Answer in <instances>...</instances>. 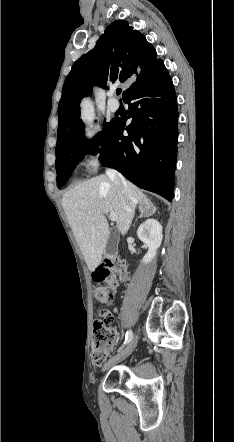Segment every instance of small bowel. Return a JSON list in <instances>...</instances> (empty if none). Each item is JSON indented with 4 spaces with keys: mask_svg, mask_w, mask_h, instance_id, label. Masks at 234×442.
I'll return each instance as SVG.
<instances>
[{
    "mask_svg": "<svg viewBox=\"0 0 234 442\" xmlns=\"http://www.w3.org/2000/svg\"><path fill=\"white\" fill-rule=\"evenodd\" d=\"M114 317L112 314H103L101 319L94 320L95 328H111L113 326Z\"/></svg>",
    "mask_w": 234,
    "mask_h": 442,
    "instance_id": "c3829d8e",
    "label": "small bowel"
}]
</instances>
